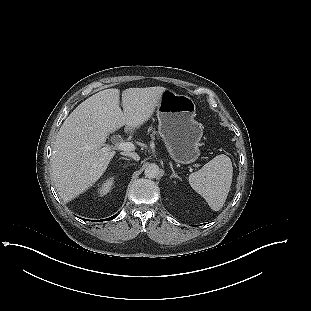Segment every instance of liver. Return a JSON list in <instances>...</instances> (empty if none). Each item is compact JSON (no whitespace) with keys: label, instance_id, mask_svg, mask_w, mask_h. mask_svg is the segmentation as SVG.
<instances>
[{"label":"liver","instance_id":"6515ba94","mask_svg":"<svg viewBox=\"0 0 311 311\" xmlns=\"http://www.w3.org/2000/svg\"><path fill=\"white\" fill-rule=\"evenodd\" d=\"M164 87L128 88L100 91L79 104L57 133L51 156V176L66 201L92 186L106 171L115 155L104 150L110 133L124 125L133 132L152 116ZM103 147V148H102Z\"/></svg>","mask_w":311,"mask_h":311}]
</instances>
